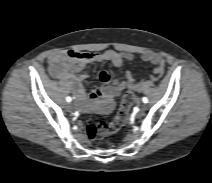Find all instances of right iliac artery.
I'll use <instances>...</instances> for the list:
<instances>
[{
  "label": "right iliac artery",
  "mask_w": 212,
  "mask_h": 183,
  "mask_svg": "<svg viewBox=\"0 0 212 183\" xmlns=\"http://www.w3.org/2000/svg\"><path fill=\"white\" fill-rule=\"evenodd\" d=\"M71 100H72V98H71V97H69V96H68V97H66V101H67V102H71Z\"/></svg>",
  "instance_id": "1"
}]
</instances>
